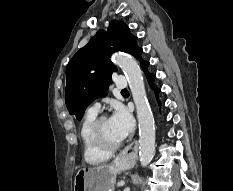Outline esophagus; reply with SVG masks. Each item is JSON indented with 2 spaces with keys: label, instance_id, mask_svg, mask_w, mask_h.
Returning a JSON list of instances; mask_svg holds the SVG:
<instances>
[{
  "label": "esophagus",
  "instance_id": "esophagus-1",
  "mask_svg": "<svg viewBox=\"0 0 233 191\" xmlns=\"http://www.w3.org/2000/svg\"><path fill=\"white\" fill-rule=\"evenodd\" d=\"M137 150V142H132L125 149H123L116 157L115 162L117 163H131L134 161Z\"/></svg>",
  "mask_w": 233,
  "mask_h": 191
}]
</instances>
